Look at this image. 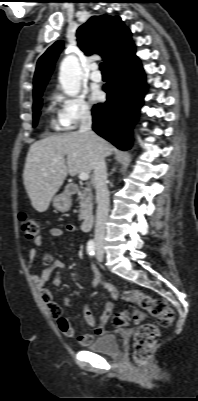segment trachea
Wrapping results in <instances>:
<instances>
[{
	"label": "trachea",
	"mask_w": 198,
	"mask_h": 401,
	"mask_svg": "<svg viewBox=\"0 0 198 401\" xmlns=\"http://www.w3.org/2000/svg\"><path fill=\"white\" fill-rule=\"evenodd\" d=\"M100 70H101L102 73H106L107 72L104 63L100 64Z\"/></svg>",
	"instance_id": "trachea-1"
}]
</instances>
